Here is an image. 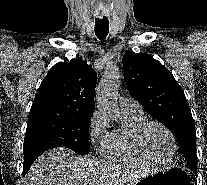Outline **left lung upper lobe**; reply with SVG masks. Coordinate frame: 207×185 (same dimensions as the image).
<instances>
[{
	"label": "left lung upper lobe",
	"instance_id": "1",
	"mask_svg": "<svg viewBox=\"0 0 207 185\" xmlns=\"http://www.w3.org/2000/svg\"><path fill=\"white\" fill-rule=\"evenodd\" d=\"M122 63L131 96L173 132L190 168L197 166L194 120L184 91L174 76L145 53L129 51L123 56Z\"/></svg>",
	"mask_w": 207,
	"mask_h": 185
}]
</instances>
